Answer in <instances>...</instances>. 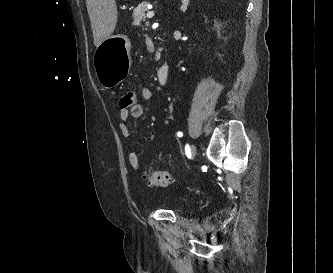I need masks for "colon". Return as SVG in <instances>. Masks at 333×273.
Returning a JSON list of instances; mask_svg holds the SVG:
<instances>
[{"instance_id": "obj_1", "label": "colon", "mask_w": 333, "mask_h": 273, "mask_svg": "<svg viewBox=\"0 0 333 273\" xmlns=\"http://www.w3.org/2000/svg\"><path fill=\"white\" fill-rule=\"evenodd\" d=\"M137 103L136 94L133 91H126L120 97L119 105L121 108H130ZM145 179L150 185L168 186L172 182L171 174L166 170H154L146 174Z\"/></svg>"}]
</instances>
